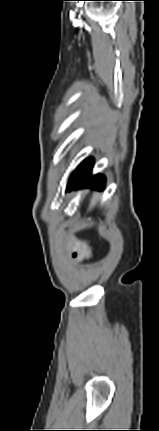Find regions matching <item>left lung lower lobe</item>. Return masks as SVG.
<instances>
[{
  "mask_svg": "<svg viewBox=\"0 0 159 431\" xmlns=\"http://www.w3.org/2000/svg\"><path fill=\"white\" fill-rule=\"evenodd\" d=\"M94 159L88 158L84 160L71 174L67 190L77 189L84 185L90 186L92 189L102 190L105 186V178L102 175H91Z\"/></svg>",
  "mask_w": 159,
  "mask_h": 431,
  "instance_id": "0a47b994",
  "label": "left lung lower lobe"
}]
</instances>
